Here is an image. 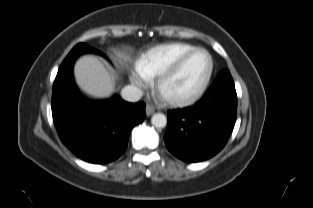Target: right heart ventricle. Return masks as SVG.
Returning a JSON list of instances; mask_svg holds the SVG:
<instances>
[{
  "instance_id": "e07e8e85",
  "label": "right heart ventricle",
  "mask_w": 313,
  "mask_h": 208,
  "mask_svg": "<svg viewBox=\"0 0 313 208\" xmlns=\"http://www.w3.org/2000/svg\"><path fill=\"white\" fill-rule=\"evenodd\" d=\"M196 47L186 43H167L158 45L145 52L137 62L136 69L139 75L150 80L160 76L171 68L184 54Z\"/></svg>"
}]
</instances>
